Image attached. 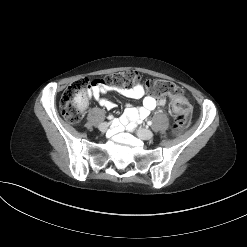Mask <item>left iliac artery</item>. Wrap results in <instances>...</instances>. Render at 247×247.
<instances>
[{
    "label": "left iliac artery",
    "instance_id": "left-iliac-artery-1",
    "mask_svg": "<svg viewBox=\"0 0 247 247\" xmlns=\"http://www.w3.org/2000/svg\"><path fill=\"white\" fill-rule=\"evenodd\" d=\"M147 125H148V126H151V125H152V121H148V122H147Z\"/></svg>",
    "mask_w": 247,
    "mask_h": 247
}]
</instances>
